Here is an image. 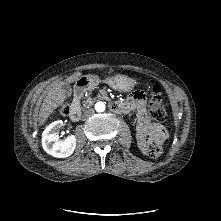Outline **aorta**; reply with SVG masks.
I'll use <instances>...</instances> for the list:
<instances>
[{"label":"aorta","instance_id":"762f6f07","mask_svg":"<svg viewBox=\"0 0 221 221\" xmlns=\"http://www.w3.org/2000/svg\"><path fill=\"white\" fill-rule=\"evenodd\" d=\"M95 110L97 111V112H104L105 111V103L104 102H97L96 104H95Z\"/></svg>","mask_w":221,"mask_h":221}]
</instances>
